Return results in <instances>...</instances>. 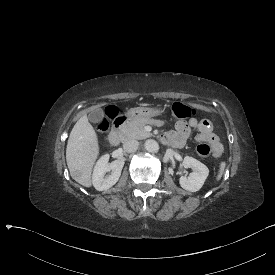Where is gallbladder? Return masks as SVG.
I'll return each mask as SVG.
<instances>
[{"label": "gallbladder", "mask_w": 275, "mask_h": 275, "mask_svg": "<svg viewBox=\"0 0 275 275\" xmlns=\"http://www.w3.org/2000/svg\"><path fill=\"white\" fill-rule=\"evenodd\" d=\"M88 120L92 123H103L106 121V113L104 108H97L88 114Z\"/></svg>", "instance_id": "obj_1"}]
</instances>
